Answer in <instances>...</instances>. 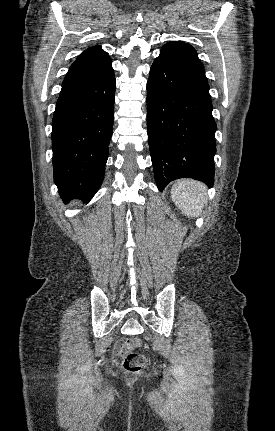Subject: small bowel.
<instances>
[{"instance_id": "c3829d8e", "label": "small bowel", "mask_w": 275, "mask_h": 431, "mask_svg": "<svg viewBox=\"0 0 275 431\" xmlns=\"http://www.w3.org/2000/svg\"><path fill=\"white\" fill-rule=\"evenodd\" d=\"M126 353H127V350L124 346V342H119L115 345L114 352H113L115 361L121 360Z\"/></svg>"}]
</instances>
